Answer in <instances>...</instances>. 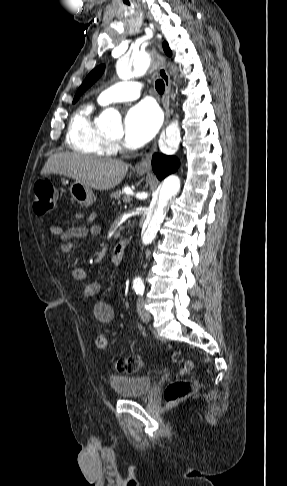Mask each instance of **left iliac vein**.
<instances>
[{
	"label": "left iliac vein",
	"instance_id": "4c4485c4",
	"mask_svg": "<svg viewBox=\"0 0 287 486\" xmlns=\"http://www.w3.org/2000/svg\"><path fill=\"white\" fill-rule=\"evenodd\" d=\"M137 312L141 320L148 323L151 320V314L145 309V301L143 297H140L137 301Z\"/></svg>",
	"mask_w": 287,
	"mask_h": 486
}]
</instances>
